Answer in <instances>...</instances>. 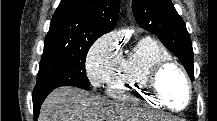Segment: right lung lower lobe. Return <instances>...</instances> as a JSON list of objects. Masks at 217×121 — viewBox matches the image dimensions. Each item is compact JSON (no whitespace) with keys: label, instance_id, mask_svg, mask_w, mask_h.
<instances>
[{"label":"right lung lower lobe","instance_id":"98d812e1","mask_svg":"<svg viewBox=\"0 0 217 121\" xmlns=\"http://www.w3.org/2000/svg\"><path fill=\"white\" fill-rule=\"evenodd\" d=\"M51 91L44 93L42 95L33 97V107H34V120H37L38 115H39V110L41 107V104L43 103L44 99L47 97V95L50 93Z\"/></svg>","mask_w":217,"mask_h":121}]
</instances>
